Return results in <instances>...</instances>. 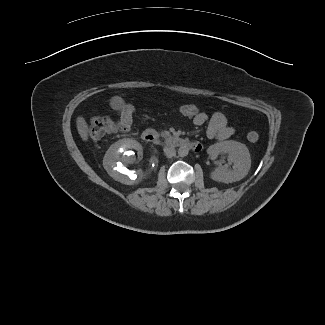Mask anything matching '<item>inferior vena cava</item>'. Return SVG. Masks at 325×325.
Listing matches in <instances>:
<instances>
[{"label":"inferior vena cava","mask_w":325,"mask_h":325,"mask_svg":"<svg viewBox=\"0 0 325 325\" xmlns=\"http://www.w3.org/2000/svg\"><path fill=\"white\" fill-rule=\"evenodd\" d=\"M164 153L168 158H172L176 154V150L172 147H164Z\"/></svg>","instance_id":"inferior-vena-cava-1"}]
</instances>
